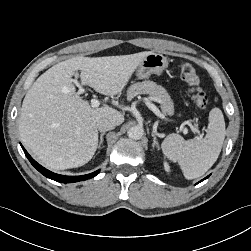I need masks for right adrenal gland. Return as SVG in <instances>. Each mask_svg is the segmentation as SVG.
I'll list each match as a JSON object with an SVG mask.
<instances>
[{"instance_id":"2a0ac1e0","label":"right adrenal gland","mask_w":251,"mask_h":251,"mask_svg":"<svg viewBox=\"0 0 251 251\" xmlns=\"http://www.w3.org/2000/svg\"><path fill=\"white\" fill-rule=\"evenodd\" d=\"M105 135V132H102L100 134V140H99V145H98V149L100 150L101 149V145L103 143V136Z\"/></svg>"}]
</instances>
